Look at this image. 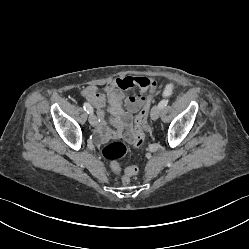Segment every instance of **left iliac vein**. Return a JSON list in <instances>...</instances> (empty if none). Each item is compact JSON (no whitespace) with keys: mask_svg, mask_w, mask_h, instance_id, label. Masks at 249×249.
Instances as JSON below:
<instances>
[{"mask_svg":"<svg viewBox=\"0 0 249 249\" xmlns=\"http://www.w3.org/2000/svg\"><path fill=\"white\" fill-rule=\"evenodd\" d=\"M160 107L159 106H154L152 108V111H151V119L152 120H157L159 118V115H160Z\"/></svg>","mask_w":249,"mask_h":249,"instance_id":"obj_1","label":"left iliac vein"}]
</instances>
